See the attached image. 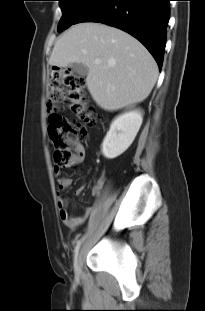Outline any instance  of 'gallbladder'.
<instances>
[{
    "label": "gallbladder",
    "mask_w": 205,
    "mask_h": 311,
    "mask_svg": "<svg viewBox=\"0 0 205 311\" xmlns=\"http://www.w3.org/2000/svg\"><path fill=\"white\" fill-rule=\"evenodd\" d=\"M71 69L74 73L80 76H86L88 74V68L82 63H74L71 65Z\"/></svg>",
    "instance_id": "bac80fb5"
}]
</instances>
